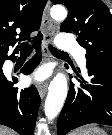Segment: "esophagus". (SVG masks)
<instances>
[{
	"label": "esophagus",
	"mask_w": 112,
	"mask_h": 135,
	"mask_svg": "<svg viewBox=\"0 0 112 135\" xmlns=\"http://www.w3.org/2000/svg\"><path fill=\"white\" fill-rule=\"evenodd\" d=\"M50 6L51 2L48 1L47 5L44 9L43 16H42V22H41V30L44 34V37L46 41H50L56 32L58 25L50 18ZM43 51L47 52V48L44 46ZM48 88V82H42L38 85V92L41 98H43L47 92Z\"/></svg>",
	"instance_id": "1"
}]
</instances>
